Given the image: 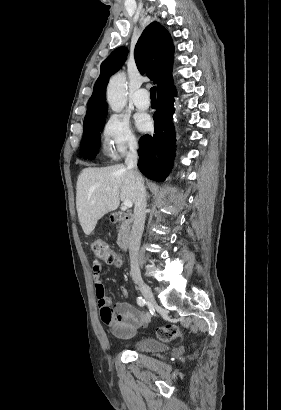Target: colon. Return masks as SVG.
Instances as JSON below:
<instances>
[{
  "mask_svg": "<svg viewBox=\"0 0 281 410\" xmlns=\"http://www.w3.org/2000/svg\"><path fill=\"white\" fill-rule=\"evenodd\" d=\"M92 250L95 256L103 260L107 264L120 266L122 263L121 257L110 250L108 246L102 240H96L92 244ZM104 323L109 328H113L116 325V319L111 311H105ZM157 338L163 342H170L180 338V328L173 324L160 326L156 329Z\"/></svg>",
  "mask_w": 281,
  "mask_h": 410,
  "instance_id": "colon-1",
  "label": "colon"
}]
</instances>
